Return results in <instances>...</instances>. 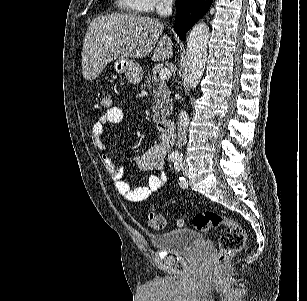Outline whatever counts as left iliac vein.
Segmentation results:
<instances>
[{
	"label": "left iliac vein",
	"mask_w": 307,
	"mask_h": 301,
	"mask_svg": "<svg viewBox=\"0 0 307 301\" xmlns=\"http://www.w3.org/2000/svg\"><path fill=\"white\" fill-rule=\"evenodd\" d=\"M182 171L185 176H188V166L186 163L183 164Z\"/></svg>",
	"instance_id": "obj_1"
}]
</instances>
